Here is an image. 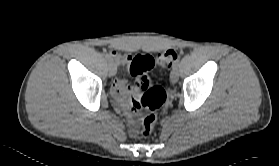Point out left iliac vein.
<instances>
[{"instance_id": "left-iliac-vein-1", "label": "left iliac vein", "mask_w": 279, "mask_h": 166, "mask_svg": "<svg viewBox=\"0 0 279 166\" xmlns=\"http://www.w3.org/2000/svg\"><path fill=\"white\" fill-rule=\"evenodd\" d=\"M179 78V71H178V66L177 67H173L171 74H170V79L172 83H175L178 81Z\"/></svg>"}]
</instances>
